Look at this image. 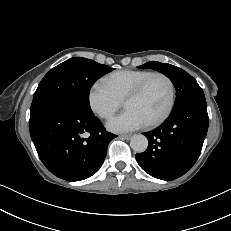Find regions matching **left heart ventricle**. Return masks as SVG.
<instances>
[{"instance_id": "left-heart-ventricle-1", "label": "left heart ventricle", "mask_w": 231, "mask_h": 231, "mask_svg": "<svg viewBox=\"0 0 231 231\" xmlns=\"http://www.w3.org/2000/svg\"><path fill=\"white\" fill-rule=\"evenodd\" d=\"M171 96L170 85L162 77L154 78L144 93L125 104L126 109L138 113L146 123L160 117L167 109Z\"/></svg>"}]
</instances>
